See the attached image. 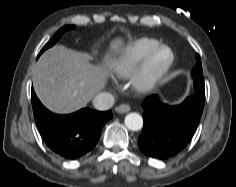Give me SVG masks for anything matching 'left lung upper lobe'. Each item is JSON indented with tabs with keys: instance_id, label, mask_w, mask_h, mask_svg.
I'll list each match as a JSON object with an SVG mask.
<instances>
[{
	"instance_id": "1",
	"label": "left lung upper lobe",
	"mask_w": 236,
	"mask_h": 187,
	"mask_svg": "<svg viewBox=\"0 0 236 187\" xmlns=\"http://www.w3.org/2000/svg\"><path fill=\"white\" fill-rule=\"evenodd\" d=\"M196 59H197V64L192 70V76L194 80V89H195V92H197L198 94L205 96L203 71H202L201 59L198 54L196 55Z\"/></svg>"
}]
</instances>
